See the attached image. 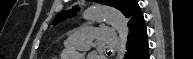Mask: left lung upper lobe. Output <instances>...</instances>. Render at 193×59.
<instances>
[{"label": "left lung upper lobe", "mask_w": 193, "mask_h": 59, "mask_svg": "<svg viewBox=\"0 0 193 59\" xmlns=\"http://www.w3.org/2000/svg\"><path fill=\"white\" fill-rule=\"evenodd\" d=\"M90 1H95L100 4L109 5L114 8H117L128 19H130L135 12H140V8L136 0H90ZM77 10H78V7H74L72 10L63 11L59 13L54 19L53 23L57 24L65 20L67 17L71 16V13L73 11H77Z\"/></svg>", "instance_id": "1"}]
</instances>
